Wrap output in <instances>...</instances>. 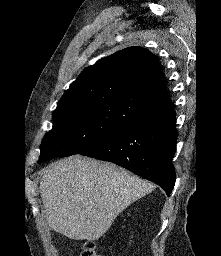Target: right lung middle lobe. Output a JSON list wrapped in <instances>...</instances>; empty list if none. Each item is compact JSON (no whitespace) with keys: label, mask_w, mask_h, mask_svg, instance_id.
Returning <instances> with one entry per match:
<instances>
[{"label":"right lung middle lobe","mask_w":221,"mask_h":256,"mask_svg":"<svg viewBox=\"0 0 221 256\" xmlns=\"http://www.w3.org/2000/svg\"><path fill=\"white\" fill-rule=\"evenodd\" d=\"M53 129L45 134L39 163L80 153L106 136L143 120L115 105L53 112Z\"/></svg>","instance_id":"dd1d6c3e"}]
</instances>
